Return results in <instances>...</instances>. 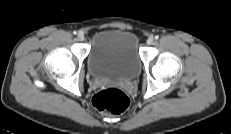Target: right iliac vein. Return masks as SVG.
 <instances>
[{
    "instance_id": "right-iliac-vein-1",
    "label": "right iliac vein",
    "mask_w": 231,
    "mask_h": 134,
    "mask_svg": "<svg viewBox=\"0 0 231 134\" xmlns=\"http://www.w3.org/2000/svg\"><path fill=\"white\" fill-rule=\"evenodd\" d=\"M77 38H78L79 41H83L84 40V34L81 33V32L78 33Z\"/></svg>"
}]
</instances>
